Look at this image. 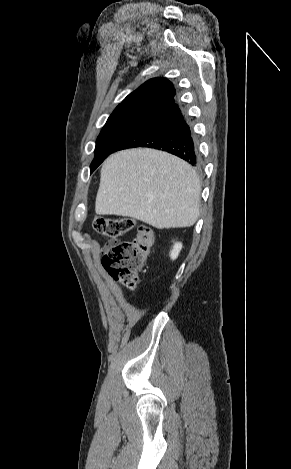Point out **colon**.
I'll use <instances>...</instances> for the list:
<instances>
[{"label":"colon","instance_id":"1","mask_svg":"<svg viewBox=\"0 0 291 469\" xmlns=\"http://www.w3.org/2000/svg\"><path fill=\"white\" fill-rule=\"evenodd\" d=\"M134 221L127 217H96L93 230L103 236L114 239L102 257V266L116 281L129 289H135L139 282V273L151 254L154 244L153 230L147 225H140L136 235L130 240H117L134 228Z\"/></svg>","mask_w":291,"mask_h":469}]
</instances>
